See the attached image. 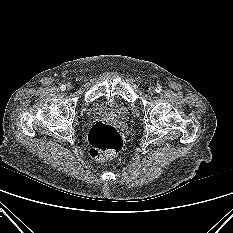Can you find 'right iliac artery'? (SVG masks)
Wrapping results in <instances>:
<instances>
[{
  "mask_svg": "<svg viewBox=\"0 0 233 233\" xmlns=\"http://www.w3.org/2000/svg\"><path fill=\"white\" fill-rule=\"evenodd\" d=\"M60 89H61L62 91H64V90H66V86H65L64 84H62V85L60 86Z\"/></svg>",
  "mask_w": 233,
  "mask_h": 233,
  "instance_id": "82829eb1",
  "label": "right iliac artery"
}]
</instances>
